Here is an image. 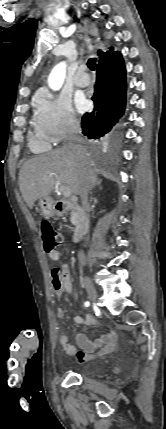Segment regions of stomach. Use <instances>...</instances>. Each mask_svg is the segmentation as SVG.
I'll return each mask as SVG.
<instances>
[{"label":"stomach","mask_w":166,"mask_h":429,"mask_svg":"<svg viewBox=\"0 0 166 429\" xmlns=\"http://www.w3.org/2000/svg\"><path fill=\"white\" fill-rule=\"evenodd\" d=\"M39 210L45 217H52L55 214L54 202L50 197H41L38 202Z\"/></svg>","instance_id":"0dacf381"}]
</instances>
